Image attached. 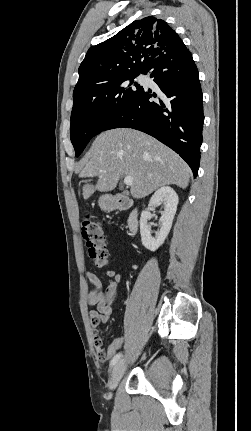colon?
Wrapping results in <instances>:
<instances>
[{
  "label": "colon",
  "instance_id": "1",
  "mask_svg": "<svg viewBox=\"0 0 251 431\" xmlns=\"http://www.w3.org/2000/svg\"><path fill=\"white\" fill-rule=\"evenodd\" d=\"M82 237L86 243L89 258L98 267H103L108 263V251L106 249L105 236L99 222L86 219L82 223ZM123 337H116L107 344L106 358L110 362L117 351L122 350Z\"/></svg>",
  "mask_w": 251,
  "mask_h": 431
}]
</instances>
